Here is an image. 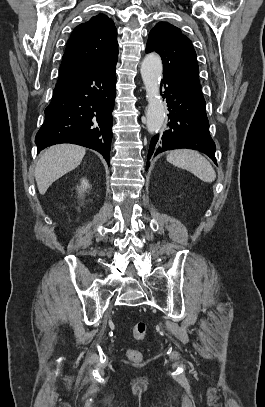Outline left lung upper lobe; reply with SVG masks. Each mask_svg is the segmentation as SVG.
Instances as JSON below:
<instances>
[{"mask_svg": "<svg viewBox=\"0 0 265 407\" xmlns=\"http://www.w3.org/2000/svg\"><path fill=\"white\" fill-rule=\"evenodd\" d=\"M157 52L163 61V77L173 79L204 99L198 77V63L192 42L181 30L159 22L150 31L146 52Z\"/></svg>", "mask_w": 265, "mask_h": 407, "instance_id": "left-lung-upper-lobe-1", "label": "left lung upper lobe"}]
</instances>
